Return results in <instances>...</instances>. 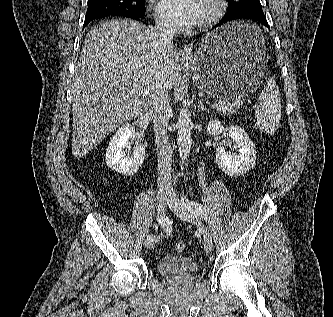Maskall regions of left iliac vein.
I'll list each match as a JSON object with an SVG mask.
<instances>
[{
  "label": "left iliac vein",
  "mask_w": 333,
  "mask_h": 317,
  "mask_svg": "<svg viewBox=\"0 0 333 317\" xmlns=\"http://www.w3.org/2000/svg\"><path fill=\"white\" fill-rule=\"evenodd\" d=\"M168 205L180 219L193 224H199L196 215L191 212L182 200L178 199L174 193L169 194ZM202 234L205 251L211 252L213 248L211 235L205 228H202Z\"/></svg>",
  "instance_id": "1"
}]
</instances>
